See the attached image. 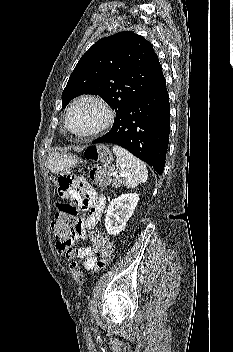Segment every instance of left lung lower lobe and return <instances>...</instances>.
Instances as JSON below:
<instances>
[{
    "mask_svg": "<svg viewBox=\"0 0 233 352\" xmlns=\"http://www.w3.org/2000/svg\"><path fill=\"white\" fill-rule=\"evenodd\" d=\"M170 105L164 76L116 117L92 143L117 144L162 174L169 143Z\"/></svg>",
    "mask_w": 233,
    "mask_h": 352,
    "instance_id": "obj_1",
    "label": "left lung lower lobe"
}]
</instances>
